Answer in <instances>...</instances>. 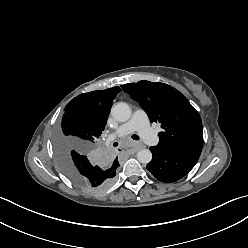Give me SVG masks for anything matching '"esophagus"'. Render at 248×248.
<instances>
[{
	"mask_svg": "<svg viewBox=\"0 0 248 248\" xmlns=\"http://www.w3.org/2000/svg\"><path fill=\"white\" fill-rule=\"evenodd\" d=\"M141 147H142L141 145H137V146H134L132 150H133L134 152H136V151H138Z\"/></svg>",
	"mask_w": 248,
	"mask_h": 248,
	"instance_id": "obj_1",
	"label": "esophagus"
}]
</instances>
